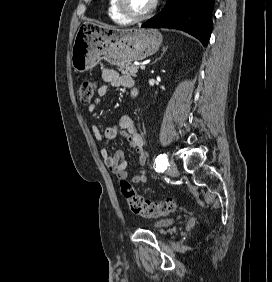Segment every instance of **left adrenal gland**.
I'll list each match as a JSON object with an SVG mask.
<instances>
[{
	"label": "left adrenal gland",
	"instance_id": "1",
	"mask_svg": "<svg viewBox=\"0 0 272 282\" xmlns=\"http://www.w3.org/2000/svg\"><path fill=\"white\" fill-rule=\"evenodd\" d=\"M167 49H168V46L163 47V48H162V53H161L160 57L157 58V59H155V61H154L153 63H155V62H157L159 59H161V58L163 57V55L165 54V52L167 51ZM153 63H152V64H153Z\"/></svg>",
	"mask_w": 272,
	"mask_h": 282
}]
</instances>
